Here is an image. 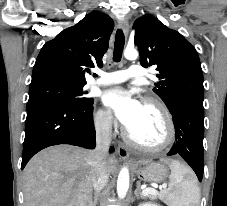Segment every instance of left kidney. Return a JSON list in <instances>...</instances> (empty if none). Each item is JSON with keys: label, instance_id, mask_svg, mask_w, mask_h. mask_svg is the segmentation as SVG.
<instances>
[{"label": "left kidney", "instance_id": "1", "mask_svg": "<svg viewBox=\"0 0 227 206\" xmlns=\"http://www.w3.org/2000/svg\"><path fill=\"white\" fill-rule=\"evenodd\" d=\"M138 206H158V205L146 202V203H140Z\"/></svg>", "mask_w": 227, "mask_h": 206}]
</instances>
